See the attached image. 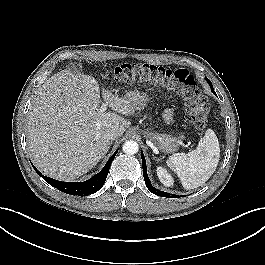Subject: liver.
<instances>
[{"label":"liver","mask_w":265,"mask_h":265,"mask_svg":"<svg viewBox=\"0 0 265 265\" xmlns=\"http://www.w3.org/2000/svg\"><path fill=\"white\" fill-rule=\"evenodd\" d=\"M107 105L122 115L137 109L130 97L103 89ZM98 82L81 71L65 69L39 89L28 115V147L37 168L49 177L72 181L87 173L110 148L106 133L120 137L131 122L115 112H99Z\"/></svg>","instance_id":"6515ba94"}]
</instances>
